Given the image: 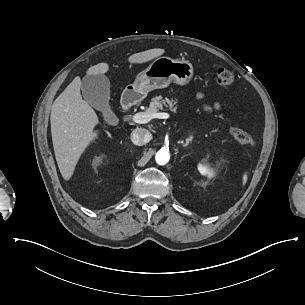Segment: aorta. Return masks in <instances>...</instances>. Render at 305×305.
<instances>
[{
	"label": "aorta",
	"mask_w": 305,
	"mask_h": 305,
	"mask_svg": "<svg viewBox=\"0 0 305 305\" xmlns=\"http://www.w3.org/2000/svg\"><path fill=\"white\" fill-rule=\"evenodd\" d=\"M155 160L158 165H165L169 162L170 160V153L168 150L165 149H160L156 155H155Z\"/></svg>",
	"instance_id": "obj_1"
}]
</instances>
